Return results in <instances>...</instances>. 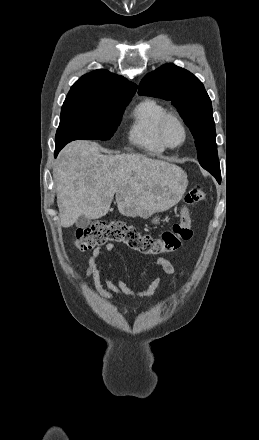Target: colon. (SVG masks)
Instances as JSON below:
<instances>
[{
  "label": "colon",
  "instance_id": "1",
  "mask_svg": "<svg viewBox=\"0 0 259 440\" xmlns=\"http://www.w3.org/2000/svg\"><path fill=\"white\" fill-rule=\"evenodd\" d=\"M205 199L206 191L201 186L196 185L191 188L185 195L179 221L162 232L159 237L143 234L135 227L121 221H97L76 232L75 246L80 251H87L107 242H118L145 255L174 252L182 242L192 237L189 206L203 202Z\"/></svg>",
  "mask_w": 259,
  "mask_h": 440
}]
</instances>
